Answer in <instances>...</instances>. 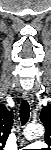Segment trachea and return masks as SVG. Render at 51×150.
Instances as JSON below:
<instances>
[{
  "label": "trachea",
  "instance_id": "obj_1",
  "mask_svg": "<svg viewBox=\"0 0 51 150\" xmlns=\"http://www.w3.org/2000/svg\"><path fill=\"white\" fill-rule=\"evenodd\" d=\"M29 116H30L29 104L27 101H22L20 105V120L22 125H25L28 122Z\"/></svg>",
  "mask_w": 51,
  "mask_h": 150
}]
</instances>
